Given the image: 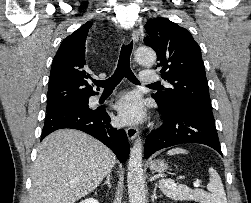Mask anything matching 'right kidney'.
<instances>
[{
    "mask_svg": "<svg viewBox=\"0 0 251 203\" xmlns=\"http://www.w3.org/2000/svg\"><path fill=\"white\" fill-rule=\"evenodd\" d=\"M80 203H99L98 200L94 199V198H87L83 201H81Z\"/></svg>",
    "mask_w": 251,
    "mask_h": 203,
    "instance_id": "1",
    "label": "right kidney"
}]
</instances>
